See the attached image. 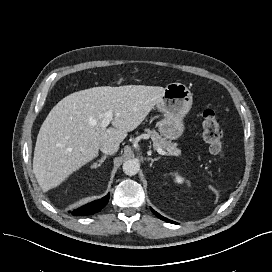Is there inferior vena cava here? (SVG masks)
<instances>
[{
  "instance_id": "602c4592",
  "label": "inferior vena cava",
  "mask_w": 272,
  "mask_h": 272,
  "mask_svg": "<svg viewBox=\"0 0 272 272\" xmlns=\"http://www.w3.org/2000/svg\"><path fill=\"white\" fill-rule=\"evenodd\" d=\"M119 149V145L117 143L105 142L101 145L100 150L107 155H112L116 153Z\"/></svg>"
}]
</instances>
